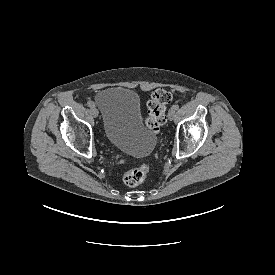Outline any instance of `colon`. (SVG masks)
I'll list each match as a JSON object with an SVG mask.
<instances>
[{"label": "colon", "mask_w": 275, "mask_h": 275, "mask_svg": "<svg viewBox=\"0 0 275 275\" xmlns=\"http://www.w3.org/2000/svg\"><path fill=\"white\" fill-rule=\"evenodd\" d=\"M170 92L164 89L155 90L150 100L147 102V116L145 123L153 132L158 133L162 125L166 122V107L171 102ZM149 174L147 164H141L137 167L127 169L123 173V182L131 187L140 185Z\"/></svg>", "instance_id": "obj_1"}]
</instances>
